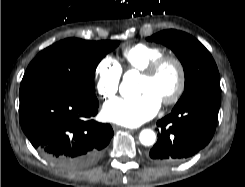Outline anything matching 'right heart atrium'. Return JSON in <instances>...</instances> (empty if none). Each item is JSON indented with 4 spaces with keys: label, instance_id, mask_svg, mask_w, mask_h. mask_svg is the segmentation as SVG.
<instances>
[{
    "label": "right heart atrium",
    "instance_id": "d8ad5b80",
    "mask_svg": "<svg viewBox=\"0 0 245 187\" xmlns=\"http://www.w3.org/2000/svg\"><path fill=\"white\" fill-rule=\"evenodd\" d=\"M96 92L103 100L114 99L119 91L121 66L111 57H103L96 67Z\"/></svg>",
    "mask_w": 245,
    "mask_h": 187
}]
</instances>
